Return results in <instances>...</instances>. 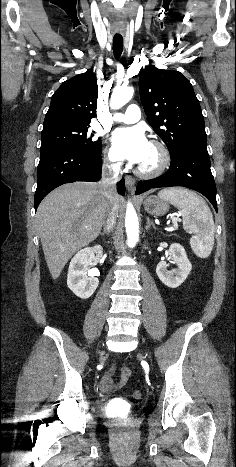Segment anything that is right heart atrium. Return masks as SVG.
<instances>
[{
    "label": "right heart atrium",
    "mask_w": 236,
    "mask_h": 467,
    "mask_svg": "<svg viewBox=\"0 0 236 467\" xmlns=\"http://www.w3.org/2000/svg\"><path fill=\"white\" fill-rule=\"evenodd\" d=\"M105 159L108 165L113 169H119L121 166L120 161L118 160L115 151L112 147H107L105 151Z\"/></svg>",
    "instance_id": "obj_1"
}]
</instances>
